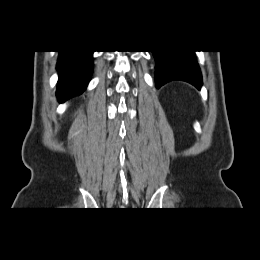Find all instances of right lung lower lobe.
<instances>
[{"label":"right lung lower lobe","mask_w":260,"mask_h":260,"mask_svg":"<svg viewBox=\"0 0 260 260\" xmlns=\"http://www.w3.org/2000/svg\"><path fill=\"white\" fill-rule=\"evenodd\" d=\"M93 51H59L57 97L60 102L82 94L91 78Z\"/></svg>","instance_id":"1"}]
</instances>
